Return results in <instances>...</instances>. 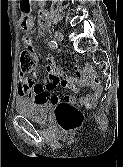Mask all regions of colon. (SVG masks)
Instances as JSON below:
<instances>
[{"instance_id":"1","label":"colon","mask_w":123,"mask_h":167,"mask_svg":"<svg viewBox=\"0 0 123 167\" xmlns=\"http://www.w3.org/2000/svg\"><path fill=\"white\" fill-rule=\"evenodd\" d=\"M19 62L22 75L30 74L36 70L37 59L31 50H23L20 53ZM56 121L62 131L71 132L81 126L83 113L71 104L61 103L56 108Z\"/></svg>"}]
</instances>
